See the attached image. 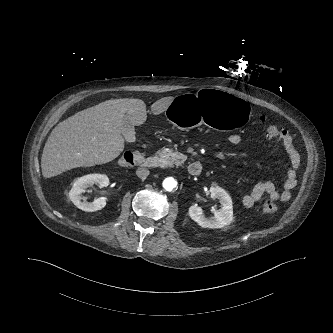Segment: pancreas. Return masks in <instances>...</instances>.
<instances>
[{
	"mask_svg": "<svg viewBox=\"0 0 333 333\" xmlns=\"http://www.w3.org/2000/svg\"><path fill=\"white\" fill-rule=\"evenodd\" d=\"M157 155L160 157L162 165L172 166V165H181L185 160L186 156L182 153L174 152L173 149L165 148L162 151L157 152Z\"/></svg>",
	"mask_w": 333,
	"mask_h": 333,
	"instance_id": "pancreas-1",
	"label": "pancreas"
}]
</instances>
